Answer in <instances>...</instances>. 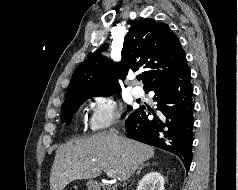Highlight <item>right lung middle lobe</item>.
Masks as SVG:
<instances>
[{
  "label": "right lung middle lobe",
  "mask_w": 238,
  "mask_h": 190,
  "mask_svg": "<svg viewBox=\"0 0 238 190\" xmlns=\"http://www.w3.org/2000/svg\"><path fill=\"white\" fill-rule=\"evenodd\" d=\"M96 96L93 94H80L66 98L62 105L61 120L63 123L69 124L72 116L79 106L88 98ZM131 110V107H128Z\"/></svg>",
  "instance_id": "1"
}]
</instances>
